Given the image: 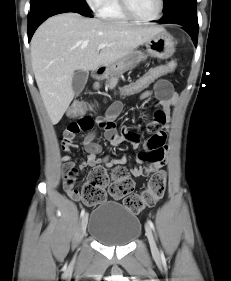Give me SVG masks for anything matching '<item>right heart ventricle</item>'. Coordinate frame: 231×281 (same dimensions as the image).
I'll return each mask as SVG.
<instances>
[{
	"label": "right heart ventricle",
	"instance_id": "e07e8e85",
	"mask_svg": "<svg viewBox=\"0 0 231 281\" xmlns=\"http://www.w3.org/2000/svg\"><path fill=\"white\" fill-rule=\"evenodd\" d=\"M99 15L102 19L112 22H127L129 20L121 10L119 0H106Z\"/></svg>",
	"mask_w": 231,
	"mask_h": 281
}]
</instances>
